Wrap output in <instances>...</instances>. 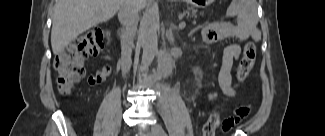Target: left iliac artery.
<instances>
[{"instance_id": "obj_1", "label": "left iliac artery", "mask_w": 325, "mask_h": 136, "mask_svg": "<svg viewBox=\"0 0 325 136\" xmlns=\"http://www.w3.org/2000/svg\"><path fill=\"white\" fill-rule=\"evenodd\" d=\"M158 134H159V136H167V134L165 133V131L163 130V128L161 126L158 129Z\"/></svg>"}]
</instances>
